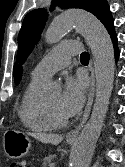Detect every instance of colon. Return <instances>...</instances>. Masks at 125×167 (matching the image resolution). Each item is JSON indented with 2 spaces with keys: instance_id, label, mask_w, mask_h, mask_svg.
Here are the masks:
<instances>
[{
  "instance_id": "1",
  "label": "colon",
  "mask_w": 125,
  "mask_h": 167,
  "mask_svg": "<svg viewBox=\"0 0 125 167\" xmlns=\"http://www.w3.org/2000/svg\"><path fill=\"white\" fill-rule=\"evenodd\" d=\"M10 167H26L24 162H14L10 165Z\"/></svg>"
}]
</instances>
